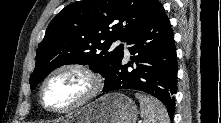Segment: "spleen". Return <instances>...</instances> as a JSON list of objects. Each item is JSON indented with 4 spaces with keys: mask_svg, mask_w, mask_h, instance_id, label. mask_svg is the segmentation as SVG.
Wrapping results in <instances>:
<instances>
[{
    "mask_svg": "<svg viewBox=\"0 0 221 123\" xmlns=\"http://www.w3.org/2000/svg\"><path fill=\"white\" fill-rule=\"evenodd\" d=\"M140 102L141 117L144 123H170L166 108L157 99L136 93Z\"/></svg>",
    "mask_w": 221,
    "mask_h": 123,
    "instance_id": "3e777b00",
    "label": "spleen"
}]
</instances>
